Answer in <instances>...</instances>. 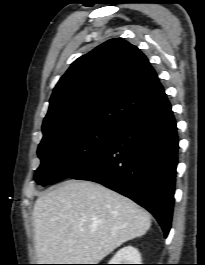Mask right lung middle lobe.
<instances>
[{
  "label": "right lung middle lobe",
  "instance_id": "obj_1",
  "mask_svg": "<svg viewBox=\"0 0 205 265\" xmlns=\"http://www.w3.org/2000/svg\"><path fill=\"white\" fill-rule=\"evenodd\" d=\"M119 127L117 123L97 122L65 132H43L35 181L45 186L72 176L111 142Z\"/></svg>",
  "mask_w": 205,
  "mask_h": 265
}]
</instances>
